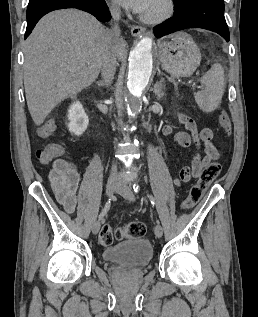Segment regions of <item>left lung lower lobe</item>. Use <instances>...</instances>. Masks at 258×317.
I'll list each match as a JSON object with an SVG mask.
<instances>
[{"label": "left lung lower lobe", "mask_w": 258, "mask_h": 317, "mask_svg": "<svg viewBox=\"0 0 258 317\" xmlns=\"http://www.w3.org/2000/svg\"><path fill=\"white\" fill-rule=\"evenodd\" d=\"M174 9L175 17L154 28L157 38L187 28H202L216 32L229 41L223 0H188Z\"/></svg>", "instance_id": "1"}]
</instances>
